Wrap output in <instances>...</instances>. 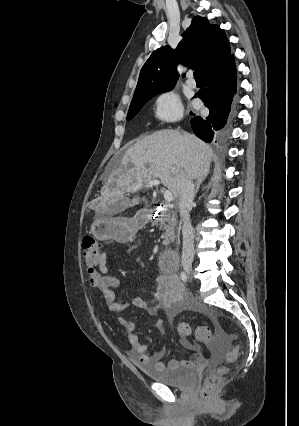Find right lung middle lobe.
<instances>
[{"label": "right lung middle lobe", "instance_id": "right-lung-middle-lobe-1", "mask_svg": "<svg viewBox=\"0 0 299 426\" xmlns=\"http://www.w3.org/2000/svg\"><path fill=\"white\" fill-rule=\"evenodd\" d=\"M171 89L172 88L166 89V90H163V91H159V92L146 93V94H142V95H138V96L134 97L131 101V104H130V108H129L128 115H127V120L132 119L139 112V110L145 105V103L149 99H151L153 96H155L156 94H159V93L170 91Z\"/></svg>", "mask_w": 299, "mask_h": 426}]
</instances>
